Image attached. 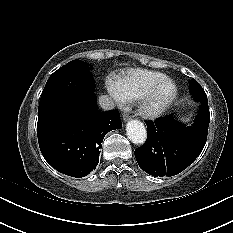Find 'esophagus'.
<instances>
[{
	"mask_svg": "<svg viewBox=\"0 0 233 233\" xmlns=\"http://www.w3.org/2000/svg\"><path fill=\"white\" fill-rule=\"evenodd\" d=\"M131 118V116L129 115V114H127V113H124L123 114V121H128L129 119Z\"/></svg>",
	"mask_w": 233,
	"mask_h": 233,
	"instance_id": "esophagus-1",
	"label": "esophagus"
}]
</instances>
